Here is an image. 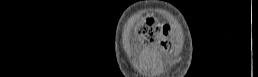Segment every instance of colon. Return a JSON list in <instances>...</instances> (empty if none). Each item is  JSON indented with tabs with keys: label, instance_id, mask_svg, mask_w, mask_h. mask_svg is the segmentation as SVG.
I'll return each instance as SVG.
<instances>
[{
	"label": "colon",
	"instance_id": "colon-1",
	"mask_svg": "<svg viewBox=\"0 0 258 77\" xmlns=\"http://www.w3.org/2000/svg\"><path fill=\"white\" fill-rule=\"evenodd\" d=\"M144 43L158 42L162 47L169 45L170 28L166 24L156 22L153 17L145 18L138 31Z\"/></svg>",
	"mask_w": 258,
	"mask_h": 77
}]
</instances>
